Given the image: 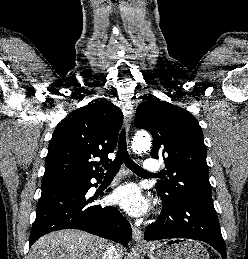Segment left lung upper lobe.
Segmentation results:
<instances>
[{
	"instance_id": "1",
	"label": "left lung upper lobe",
	"mask_w": 248,
	"mask_h": 259,
	"mask_svg": "<svg viewBox=\"0 0 248 259\" xmlns=\"http://www.w3.org/2000/svg\"><path fill=\"white\" fill-rule=\"evenodd\" d=\"M135 126L153 136L151 157L165 161L168 178L156 184L166 202L213 203L202 129L187 110L153 95L136 110Z\"/></svg>"
}]
</instances>
